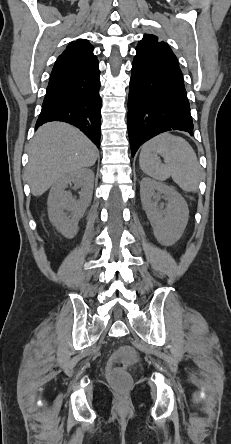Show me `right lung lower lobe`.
Segmentation results:
<instances>
[{
	"label": "right lung lower lobe",
	"instance_id": "98d812e1",
	"mask_svg": "<svg viewBox=\"0 0 231 444\" xmlns=\"http://www.w3.org/2000/svg\"><path fill=\"white\" fill-rule=\"evenodd\" d=\"M98 65L88 71L50 79L35 128L63 121L82 130L100 146L101 98Z\"/></svg>",
	"mask_w": 231,
	"mask_h": 444
}]
</instances>
